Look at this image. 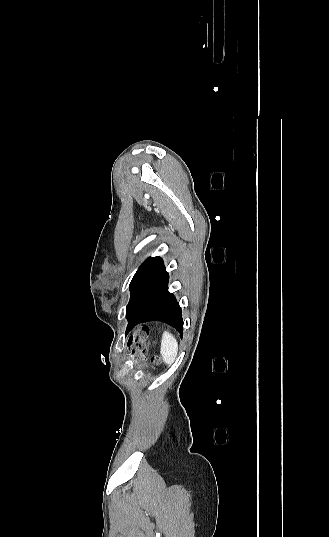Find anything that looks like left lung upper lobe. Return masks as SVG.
Wrapping results in <instances>:
<instances>
[{"mask_svg":"<svg viewBox=\"0 0 329 537\" xmlns=\"http://www.w3.org/2000/svg\"><path fill=\"white\" fill-rule=\"evenodd\" d=\"M165 269L161 257H149L145 260L132 278L129 286L131 292L126 314L140 301L150 283Z\"/></svg>","mask_w":329,"mask_h":537,"instance_id":"left-lung-upper-lobe-1","label":"left lung upper lobe"}]
</instances>
